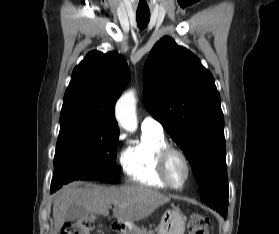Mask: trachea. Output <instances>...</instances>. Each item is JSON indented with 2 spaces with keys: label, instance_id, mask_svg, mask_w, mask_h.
Wrapping results in <instances>:
<instances>
[{
  "label": "trachea",
  "instance_id": "trachea-1",
  "mask_svg": "<svg viewBox=\"0 0 279 234\" xmlns=\"http://www.w3.org/2000/svg\"><path fill=\"white\" fill-rule=\"evenodd\" d=\"M149 19H150V12L136 13V20L140 29H144L147 26Z\"/></svg>",
  "mask_w": 279,
  "mask_h": 234
}]
</instances>
